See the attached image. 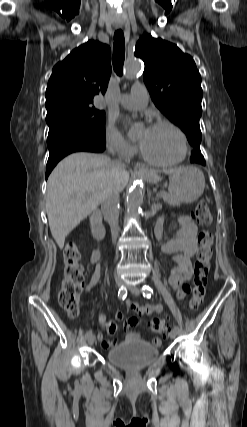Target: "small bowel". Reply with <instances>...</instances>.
Returning <instances> with one entry per match:
<instances>
[{
    "label": "small bowel",
    "mask_w": 247,
    "mask_h": 427,
    "mask_svg": "<svg viewBox=\"0 0 247 427\" xmlns=\"http://www.w3.org/2000/svg\"><path fill=\"white\" fill-rule=\"evenodd\" d=\"M179 228L176 232V235L172 239H165L164 237V226L163 219H159L155 226V235L160 241L161 250L164 253L175 254L174 261L177 263L170 271L168 282L170 286L177 291V297L179 299H184L190 291L187 282L192 276V264L191 258L197 250V226L196 224L186 216H182L178 219ZM91 263L96 265L95 270L92 272L89 281L86 285V290L89 291L93 288L99 281L101 271V255L98 250H94L91 255ZM127 306L138 315H150L153 313H160L162 311V306L159 304H145L140 305L132 301L127 302ZM123 317L122 312L117 311L115 314L116 320H121ZM99 321L102 326L106 329L109 334H114L116 332L117 326L114 321L106 320L105 316L100 315ZM140 323L138 317H130L124 323V329L126 331V339L134 340L139 339L140 336L137 333L130 332L131 327L137 326ZM154 345L159 346L160 340L154 339ZM102 345L104 347H113L116 345V341H103Z\"/></svg>",
    "instance_id": "c3829d8e"
}]
</instances>
